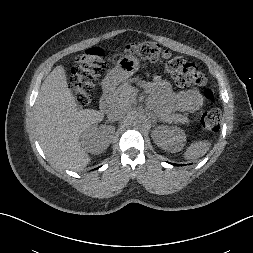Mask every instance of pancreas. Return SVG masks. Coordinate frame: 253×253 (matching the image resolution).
Listing matches in <instances>:
<instances>
[{
  "label": "pancreas",
  "instance_id": "1",
  "mask_svg": "<svg viewBox=\"0 0 253 253\" xmlns=\"http://www.w3.org/2000/svg\"><path fill=\"white\" fill-rule=\"evenodd\" d=\"M135 89L129 83L121 84L115 91L112 92L110 100L113 103L128 105L133 102ZM150 106L158 114V116L170 123H188V117L178 114L171 113L169 109L164 107L162 104L156 101H150Z\"/></svg>",
  "mask_w": 253,
  "mask_h": 253
}]
</instances>
